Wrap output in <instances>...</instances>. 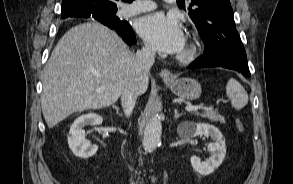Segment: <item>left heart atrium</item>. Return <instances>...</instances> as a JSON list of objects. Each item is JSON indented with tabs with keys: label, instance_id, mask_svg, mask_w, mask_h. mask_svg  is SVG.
<instances>
[{
	"label": "left heart atrium",
	"instance_id": "obj_1",
	"mask_svg": "<svg viewBox=\"0 0 293 184\" xmlns=\"http://www.w3.org/2000/svg\"><path fill=\"white\" fill-rule=\"evenodd\" d=\"M137 30L150 46L163 53H178L185 43V36L177 19L163 13L142 17L137 23Z\"/></svg>",
	"mask_w": 293,
	"mask_h": 184
}]
</instances>
